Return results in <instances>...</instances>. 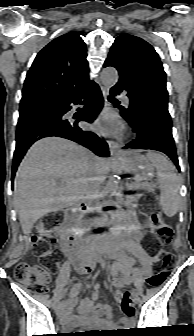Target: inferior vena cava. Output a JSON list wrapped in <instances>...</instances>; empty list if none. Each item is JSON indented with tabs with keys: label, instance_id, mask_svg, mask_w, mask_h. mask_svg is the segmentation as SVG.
<instances>
[{
	"label": "inferior vena cava",
	"instance_id": "obj_1",
	"mask_svg": "<svg viewBox=\"0 0 194 336\" xmlns=\"http://www.w3.org/2000/svg\"><path fill=\"white\" fill-rule=\"evenodd\" d=\"M89 170H98L99 164L95 158L90 160L88 164ZM104 180V177L97 173L91 180L90 184L87 186L86 189V200L89 204H94L95 201L99 198V186L101 182Z\"/></svg>",
	"mask_w": 194,
	"mask_h": 336
}]
</instances>
